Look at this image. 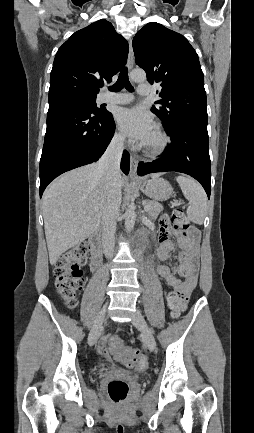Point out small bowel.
Returning a JSON list of instances; mask_svg holds the SVG:
<instances>
[{"label": "small bowel", "mask_w": 254, "mask_h": 433, "mask_svg": "<svg viewBox=\"0 0 254 433\" xmlns=\"http://www.w3.org/2000/svg\"><path fill=\"white\" fill-rule=\"evenodd\" d=\"M172 233H176L177 239L175 242L170 241L169 237ZM198 234L190 236L186 233L173 231L165 220H162L160 225L159 246L157 249V257L163 264L157 267V273L162 277L168 286L175 290L182 301L186 303L197 282L198 272ZM180 249L178 254L179 266L176 272L183 277V280L178 279L171 271L168 263L170 253L174 249ZM109 337H103L98 344V352L105 358H109L107 343ZM136 351L137 350H133Z\"/></svg>", "instance_id": "small-bowel-1"}]
</instances>
